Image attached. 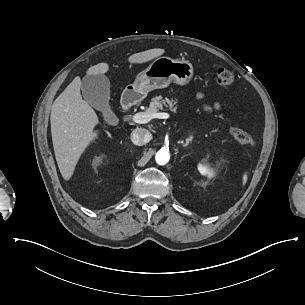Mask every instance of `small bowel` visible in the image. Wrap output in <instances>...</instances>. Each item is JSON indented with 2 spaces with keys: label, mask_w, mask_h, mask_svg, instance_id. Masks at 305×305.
Here are the masks:
<instances>
[{
  "label": "small bowel",
  "mask_w": 305,
  "mask_h": 305,
  "mask_svg": "<svg viewBox=\"0 0 305 305\" xmlns=\"http://www.w3.org/2000/svg\"><path fill=\"white\" fill-rule=\"evenodd\" d=\"M203 95L201 93H198V98H202ZM222 108V104L219 102H215L212 104H206L204 106V109L209 112V113H213V112H217Z\"/></svg>",
  "instance_id": "c3829d8e"
}]
</instances>
